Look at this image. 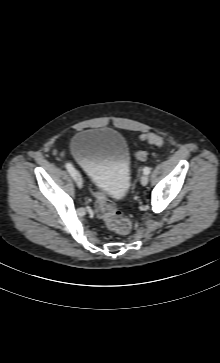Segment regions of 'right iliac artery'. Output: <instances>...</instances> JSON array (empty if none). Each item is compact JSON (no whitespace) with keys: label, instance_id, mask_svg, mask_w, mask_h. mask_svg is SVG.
<instances>
[{"label":"right iliac artery","instance_id":"right-iliac-artery-1","mask_svg":"<svg viewBox=\"0 0 220 363\" xmlns=\"http://www.w3.org/2000/svg\"><path fill=\"white\" fill-rule=\"evenodd\" d=\"M66 169L71 174V176L75 178V169L70 163H66Z\"/></svg>","mask_w":220,"mask_h":363}]
</instances>
